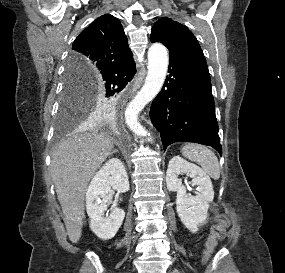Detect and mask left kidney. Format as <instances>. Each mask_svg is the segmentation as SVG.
<instances>
[{"label":"left kidney","instance_id":"5707ae66","mask_svg":"<svg viewBox=\"0 0 285 273\" xmlns=\"http://www.w3.org/2000/svg\"><path fill=\"white\" fill-rule=\"evenodd\" d=\"M191 177L190 184L197 186L195 196L187 195L179 175ZM167 189L177 192L176 210L181 222L195 233L207 219L209 203L213 201L214 191L210 178L197 165L187 162L179 156L170 161L166 173Z\"/></svg>","mask_w":285,"mask_h":273}]
</instances>
